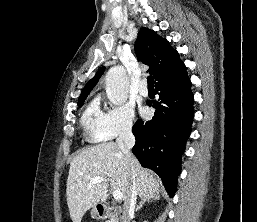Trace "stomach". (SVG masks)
I'll return each instance as SVG.
<instances>
[{
	"mask_svg": "<svg viewBox=\"0 0 257 222\" xmlns=\"http://www.w3.org/2000/svg\"><path fill=\"white\" fill-rule=\"evenodd\" d=\"M91 216H92L93 218H97L99 215H98V213L96 212L95 209H92V211H91Z\"/></svg>",
	"mask_w": 257,
	"mask_h": 222,
	"instance_id": "1",
	"label": "stomach"
}]
</instances>
